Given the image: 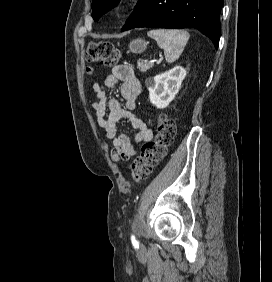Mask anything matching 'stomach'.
<instances>
[{"label":"stomach","mask_w":272,"mask_h":282,"mask_svg":"<svg viewBox=\"0 0 272 282\" xmlns=\"http://www.w3.org/2000/svg\"><path fill=\"white\" fill-rule=\"evenodd\" d=\"M128 48H129V52L136 54L142 53L147 48V42L143 39L138 38L131 41L128 45Z\"/></svg>","instance_id":"0dacf381"}]
</instances>
